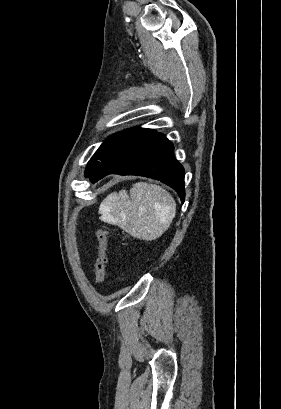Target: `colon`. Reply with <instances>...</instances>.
<instances>
[{"label":"colon","instance_id":"obj_1","mask_svg":"<svg viewBox=\"0 0 281 409\" xmlns=\"http://www.w3.org/2000/svg\"><path fill=\"white\" fill-rule=\"evenodd\" d=\"M98 255L95 266V280L97 285H102L105 279L108 251V231L104 227L96 230Z\"/></svg>","mask_w":281,"mask_h":409}]
</instances>
